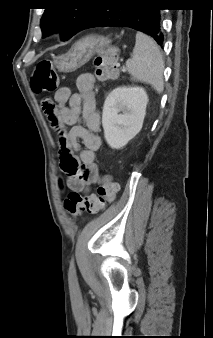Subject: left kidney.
Masks as SVG:
<instances>
[{"label": "left kidney", "instance_id": "1", "mask_svg": "<svg viewBox=\"0 0 213 338\" xmlns=\"http://www.w3.org/2000/svg\"><path fill=\"white\" fill-rule=\"evenodd\" d=\"M147 103L143 87H117L109 93L103 106L102 125L105 140L112 149L123 148L140 132Z\"/></svg>", "mask_w": 213, "mask_h": 338}]
</instances>
